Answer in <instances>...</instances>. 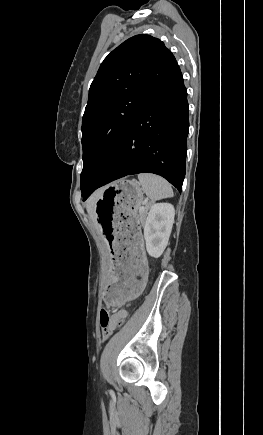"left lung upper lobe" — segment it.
<instances>
[{
    "instance_id": "5c2ea615",
    "label": "left lung upper lobe",
    "mask_w": 263,
    "mask_h": 435,
    "mask_svg": "<svg viewBox=\"0 0 263 435\" xmlns=\"http://www.w3.org/2000/svg\"><path fill=\"white\" fill-rule=\"evenodd\" d=\"M179 66L164 43L136 35L102 62L82 120V196L113 157L129 125Z\"/></svg>"
}]
</instances>
